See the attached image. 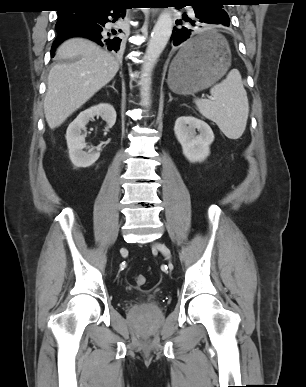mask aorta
<instances>
[{"mask_svg":"<svg viewBox=\"0 0 306 387\" xmlns=\"http://www.w3.org/2000/svg\"><path fill=\"white\" fill-rule=\"evenodd\" d=\"M173 29V18L170 10H164L152 30L148 42L141 75V105L150 106L151 74L161 53L165 49Z\"/></svg>","mask_w":306,"mask_h":387,"instance_id":"obj_1","label":"aorta"}]
</instances>
